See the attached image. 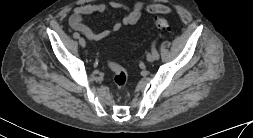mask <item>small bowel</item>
Instances as JSON below:
<instances>
[{"instance_id": "1", "label": "small bowel", "mask_w": 253, "mask_h": 138, "mask_svg": "<svg viewBox=\"0 0 253 138\" xmlns=\"http://www.w3.org/2000/svg\"><path fill=\"white\" fill-rule=\"evenodd\" d=\"M109 9H120L126 12L123 19L116 22L111 29L95 31L84 23L83 17L92 14H104ZM172 9L164 4L137 2L129 6L123 2L111 1L108 4H86L76 7L69 19L70 27L83 34L90 41H100L119 31L123 26L136 24L144 14H171Z\"/></svg>"}]
</instances>
